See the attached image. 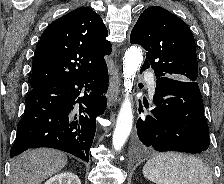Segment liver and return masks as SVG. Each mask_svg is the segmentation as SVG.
I'll use <instances>...</instances> for the list:
<instances>
[{"label":"liver","mask_w":224,"mask_h":184,"mask_svg":"<svg viewBox=\"0 0 224 184\" xmlns=\"http://www.w3.org/2000/svg\"><path fill=\"white\" fill-rule=\"evenodd\" d=\"M66 164L67 156L61 151L49 148L28 150L12 161L10 184H41Z\"/></svg>","instance_id":"liver-1"}]
</instances>
